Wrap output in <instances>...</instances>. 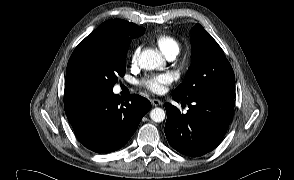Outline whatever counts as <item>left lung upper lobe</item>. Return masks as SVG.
Here are the masks:
<instances>
[{
    "mask_svg": "<svg viewBox=\"0 0 294 180\" xmlns=\"http://www.w3.org/2000/svg\"><path fill=\"white\" fill-rule=\"evenodd\" d=\"M191 66L172 93L179 99L194 96L235 98L233 69L217 42L200 25L192 28Z\"/></svg>",
    "mask_w": 294,
    "mask_h": 180,
    "instance_id": "1",
    "label": "left lung upper lobe"
}]
</instances>
